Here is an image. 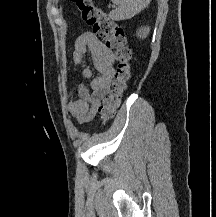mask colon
<instances>
[{
	"mask_svg": "<svg viewBox=\"0 0 216 217\" xmlns=\"http://www.w3.org/2000/svg\"><path fill=\"white\" fill-rule=\"evenodd\" d=\"M76 4L78 14L97 34L106 45L114 50L117 62L115 78L111 92L104 98L99 107V114L103 121H107L120 105L122 96L131 78V49L128 45L125 31L116 24L110 16L98 7L94 0H72Z\"/></svg>",
	"mask_w": 216,
	"mask_h": 217,
	"instance_id": "colon-1",
	"label": "colon"
}]
</instances>
